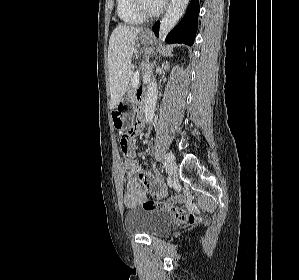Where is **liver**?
<instances>
[{
  "label": "liver",
  "instance_id": "6515ba94",
  "mask_svg": "<svg viewBox=\"0 0 299 280\" xmlns=\"http://www.w3.org/2000/svg\"><path fill=\"white\" fill-rule=\"evenodd\" d=\"M140 27L119 25L109 40L108 65L110 77V109H114L121 101L131 79V59Z\"/></svg>",
  "mask_w": 299,
  "mask_h": 280
}]
</instances>
